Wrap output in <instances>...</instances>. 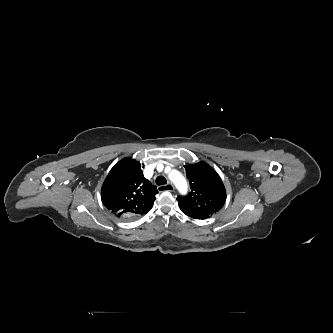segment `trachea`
<instances>
[{
	"label": "trachea",
	"mask_w": 333,
	"mask_h": 333,
	"mask_svg": "<svg viewBox=\"0 0 333 333\" xmlns=\"http://www.w3.org/2000/svg\"><path fill=\"white\" fill-rule=\"evenodd\" d=\"M166 183H167V180H166L165 177H163V176H158V177L156 178V184H157V185H164V184H166Z\"/></svg>",
	"instance_id": "obj_1"
}]
</instances>
